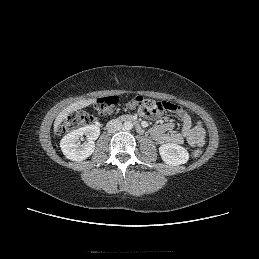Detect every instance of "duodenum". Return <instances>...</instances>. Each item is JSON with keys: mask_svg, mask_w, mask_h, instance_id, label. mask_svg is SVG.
I'll list each match as a JSON object with an SVG mask.
<instances>
[{"mask_svg": "<svg viewBox=\"0 0 259 259\" xmlns=\"http://www.w3.org/2000/svg\"><path fill=\"white\" fill-rule=\"evenodd\" d=\"M119 120L121 121H125V122H132L136 125L137 131L138 132H142L143 128L141 127V125L138 123L137 119L133 116V115H122L119 117Z\"/></svg>", "mask_w": 259, "mask_h": 259, "instance_id": "1", "label": "duodenum"}]
</instances>
